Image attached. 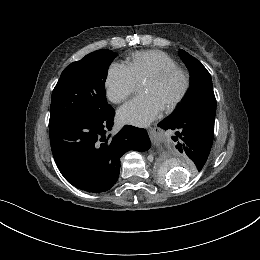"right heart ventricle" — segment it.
I'll use <instances>...</instances> for the list:
<instances>
[{
	"label": "right heart ventricle",
	"instance_id": "e07e8e85",
	"mask_svg": "<svg viewBox=\"0 0 260 260\" xmlns=\"http://www.w3.org/2000/svg\"><path fill=\"white\" fill-rule=\"evenodd\" d=\"M126 67L137 83L167 68L178 67V63L168 54L159 50H146L133 53Z\"/></svg>",
	"mask_w": 260,
	"mask_h": 260
}]
</instances>
